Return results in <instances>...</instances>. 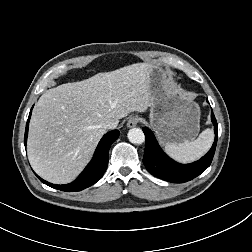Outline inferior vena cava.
<instances>
[{
	"label": "inferior vena cava",
	"mask_w": 252,
	"mask_h": 252,
	"mask_svg": "<svg viewBox=\"0 0 252 252\" xmlns=\"http://www.w3.org/2000/svg\"><path fill=\"white\" fill-rule=\"evenodd\" d=\"M117 126V123L113 121H106L102 124L104 129H114Z\"/></svg>",
	"instance_id": "602c4592"
}]
</instances>
